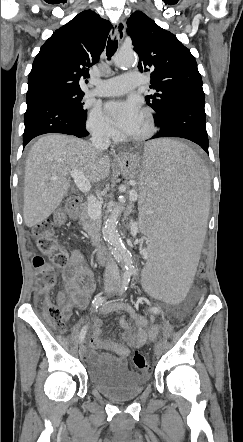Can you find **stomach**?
<instances>
[{
    "label": "stomach",
    "instance_id": "0dacf381",
    "mask_svg": "<svg viewBox=\"0 0 243 442\" xmlns=\"http://www.w3.org/2000/svg\"><path fill=\"white\" fill-rule=\"evenodd\" d=\"M122 173L128 178H136L138 175L137 167L139 165V156L134 154H125L121 160L117 162Z\"/></svg>",
    "mask_w": 243,
    "mask_h": 442
}]
</instances>
